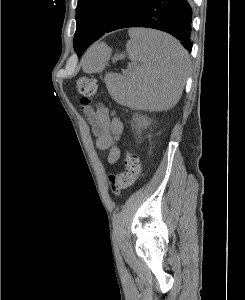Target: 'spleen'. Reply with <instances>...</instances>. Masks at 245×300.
I'll use <instances>...</instances> for the list:
<instances>
[{
	"mask_svg": "<svg viewBox=\"0 0 245 300\" xmlns=\"http://www.w3.org/2000/svg\"><path fill=\"white\" fill-rule=\"evenodd\" d=\"M126 45L129 59L140 62L124 76L107 73L105 84L112 98L132 109L168 110L179 101L188 76L187 52L172 36L151 29H130ZM106 45L86 57V73L103 71L110 57Z\"/></svg>",
	"mask_w": 245,
	"mask_h": 300,
	"instance_id": "3e777b00",
	"label": "spleen"
}]
</instances>
